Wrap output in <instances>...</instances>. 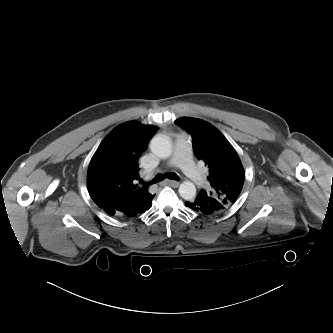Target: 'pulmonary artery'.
<instances>
[{
    "label": "pulmonary artery",
    "instance_id": "pulmonary-artery-1",
    "mask_svg": "<svg viewBox=\"0 0 333 333\" xmlns=\"http://www.w3.org/2000/svg\"><path fill=\"white\" fill-rule=\"evenodd\" d=\"M167 165L181 167L191 181L197 186H202L205 183L203 175L192 161L190 142L184 134L177 137L174 156L168 161Z\"/></svg>",
    "mask_w": 333,
    "mask_h": 333
}]
</instances>
